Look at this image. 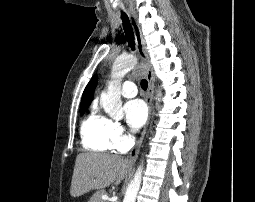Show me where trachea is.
<instances>
[{"label": "trachea", "instance_id": "1", "mask_svg": "<svg viewBox=\"0 0 255 202\" xmlns=\"http://www.w3.org/2000/svg\"><path fill=\"white\" fill-rule=\"evenodd\" d=\"M121 19L123 21V27H124V32H125L127 41L129 43L130 47L134 50V48H135L134 33H133V29L131 27L129 18L124 12H122ZM141 87L143 90L147 89L148 83L145 79L141 80Z\"/></svg>", "mask_w": 255, "mask_h": 202}]
</instances>
